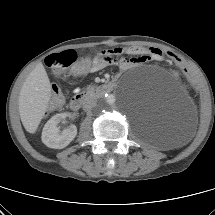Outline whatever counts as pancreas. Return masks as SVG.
Instances as JSON below:
<instances>
[{
  "instance_id": "obj_1",
  "label": "pancreas",
  "mask_w": 215,
  "mask_h": 215,
  "mask_svg": "<svg viewBox=\"0 0 215 215\" xmlns=\"http://www.w3.org/2000/svg\"><path fill=\"white\" fill-rule=\"evenodd\" d=\"M95 87H96V86H94V85H89V86L86 88V91H87V92H91V91H93V90L95 89Z\"/></svg>"
}]
</instances>
